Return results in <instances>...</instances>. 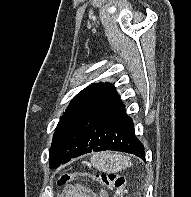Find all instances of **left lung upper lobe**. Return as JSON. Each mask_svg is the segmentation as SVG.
I'll list each match as a JSON object with an SVG mask.
<instances>
[{
	"label": "left lung upper lobe",
	"instance_id": "left-lung-upper-lobe-1",
	"mask_svg": "<svg viewBox=\"0 0 191 197\" xmlns=\"http://www.w3.org/2000/svg\"><path fill=\"white\" fill-rule=\"evenodd\" d=\"M113 89L114 86H112L108 82L91 84L90 86L79 92L70 102L54 132L52 145L49 151L51 168L58 167L60 163L73 151V148L67 140V126L74 117V113L79 105L89 98H99Z\"/></svg>",
	"mask_w": 191,
	"mask_h": 197
}]
</instances>
